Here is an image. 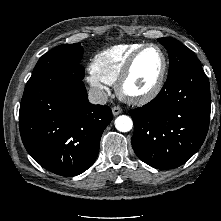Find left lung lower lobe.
I'll return each instance as SVG.
<instances>
[{
  "label": "left lung lower lobe",
  "mask_w": 221,
  "mask_h": 221,
  "mask_svg": "<svg viewBox=\"0 0 221 221\" xmlns=\"http://www.w3.org/2000/svg\"><path fill=\"white\" fill-rule=\"evenodd\" d=\"M210 111L209 80L202 67L167 80L156 98L130 110L136 155L157 169L181 166L202 146Z\"/></svg>",
  "instance_id": "0a47b994"
}]
</instances>
